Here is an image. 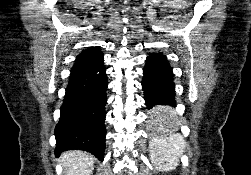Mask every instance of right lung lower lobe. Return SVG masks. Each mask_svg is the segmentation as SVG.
I'll use <instances>...</instances> for the list:
<instances>
[{
	"mask_svg": "<svg viewBox=\"0 0 251 175\" xmlns=\"http://www.w3.org/2000/svg\"><path fill=\"white\" fill-rule=\"evenodd\" d=\"M103 55L75 63L69 76L60 119L55 128L56 155L80 149L104 158L107 76Z\"/></svg>",
	"mask_w": 251,
	"mask_h": 175,
	"instance_id": "right-lung-lower-lobe-1",
	"label": "right lung lower lobe"
}]
</instances>
